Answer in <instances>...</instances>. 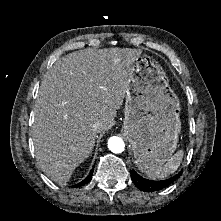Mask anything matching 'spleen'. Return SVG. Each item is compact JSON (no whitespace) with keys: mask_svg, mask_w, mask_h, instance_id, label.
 Wrapping results in <instances>:
<instances>
[{"mask_svg":"<svg viewBox=\"0 0 221 221\" xmlns=\"http://www.w3.org/2000/svg\"><path fill=\"white\" fill-rule=\"evenodd\" d=\"M183 155V150H179L168 160L165 165L146 170L145 173L151 179H162L167 177L178 169L182 162Z\"/></svg>","mask_w":221,"mask_h":221,"instance_id":"1","label":"spleen"}]
</instances>
